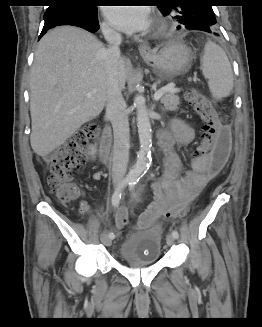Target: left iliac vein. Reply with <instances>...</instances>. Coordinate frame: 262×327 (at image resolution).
<instances>
[{
	"mask_svg": "<svg viewBox=\"0 0 262 327\" xmlns=\"http://www.w3.org/2000/svg\"><path fill=\"white\" fill-rule=\"evenodd\" d=\"M166 243L168 246H172L175 243V238L172 234H168L166 237Z\"/></svg>",
	"mask_w": 262,
	"mask_h": 327,
	"instance_id": "4c4485c4",
	"label": "left iliac vein"
}]
</instances>
